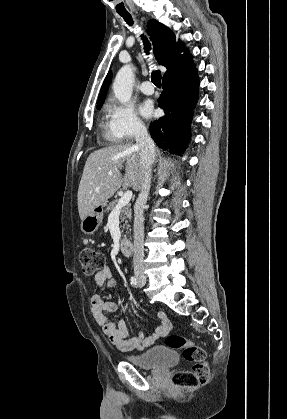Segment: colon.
<instances>
[{
  "instance_id": "5ec220e1",
  "label": "colon",
  "mask_w": 287,
  "mask_h": 419,
  "mask_svg": "<svg viewBox=\"0 0 287 419\" xmlns=\"http://www.w3.org/2000/svg\"><path fill=\"white\" fill-rule=\"evenodd\" d=\"M79 260L86 275H93L105 268L103 254L94 248H84L80 252ZM165 344L172 349L181 351L183 358L192 363L190 370L178 371L172 375L173 386L196 388L208 381L209 367L205 351L200 345L177 334L167 335Z\"/></svg>"
}]
</instances>
